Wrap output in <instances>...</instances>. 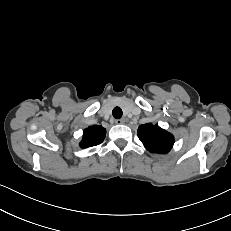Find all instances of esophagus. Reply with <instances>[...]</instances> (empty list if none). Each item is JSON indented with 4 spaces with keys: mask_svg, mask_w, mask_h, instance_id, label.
I'll use <instances>...</instances> for the list:
<instances>
[{
    "mask_svg": "<svg viewBox=\"0 0 231 231\" xmlns=\"http://www.w3.org/2000/svg\"><path fill=\"white\" fill-rule=\"evenodd\" d=\"M114 123H115V124H118V125L124 124V123H125V120H124V119H116V120L114 121Z\"/></svg>",
    "mask_w": 231,
    "mask_h": 231,
    "instance_id": "34e87169",
    "label": "esophagus"
}]
</instances>
